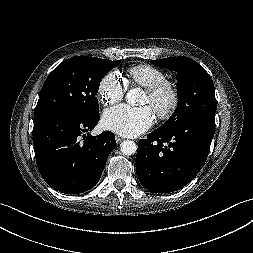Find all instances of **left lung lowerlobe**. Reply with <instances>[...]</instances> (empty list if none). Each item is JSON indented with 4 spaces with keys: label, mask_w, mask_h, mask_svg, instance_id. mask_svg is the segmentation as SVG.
Wrapping results in <instances>:
<instances>
[{
    "label": "left lung lower lobe",
    "mask_w": 253,
    "mask_h": 253,
    "mask_svg": "<svg viewBox=\"0 0 253 253\" xmlns=\"http://www.w3.org/2000/svg\"><path fill=\"white\" fill-rule=\"evenodd\" d=\"M215 130V116L198 115L169 131L156 129L139 141L136 170L154 193L186 186L203 167Z\"/></svg>",
    "instance_id": "obj_1"
}]
</instances>
